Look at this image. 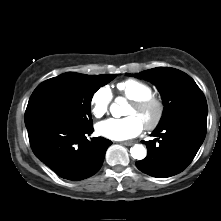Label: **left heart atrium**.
<instances>
[{"label": "left heart atrium", "instance_id": "left-heart-atrium-1", "mask_svg": "<svg viewBox=\"0 0 221 221\" xmlns=\"http://www.w3.org/2000/svg\"><path fill=\"white\" fill-rule=\"evenodd\" d=\"M143 129L142 122L136 116L122 119L109 118L97 124V133L111 140H127L136 137Z\"/></svg>", "mask_w": 221, "mask_h": 221}]
</instances>
